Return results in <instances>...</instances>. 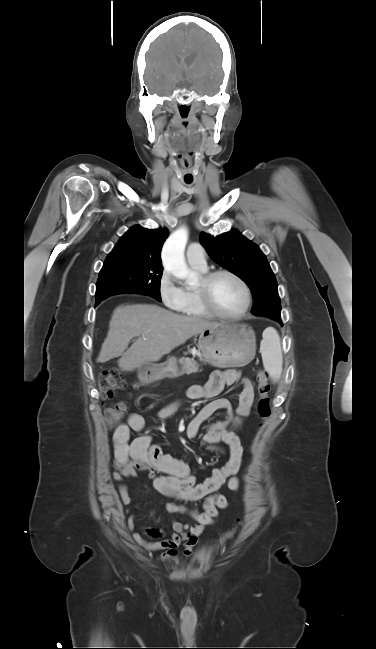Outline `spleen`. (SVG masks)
Returning <instances> with one entry per match:
<instances>
[{"label": "spleen", "instance_id": "spleen-1", "mask_svg": "<svg viewBox=\"0 0 376 649\" xmlns=\"http://www.w3.org/2000/svg\"><path fill=\"white\" fill-rule=\"evenodd\" d=\"M260 352L265 371L274 382H278L282 374L283 356L280 337L274 328L264 331Z\"/></svg>", "mask_w": 376, "mask_h": 649}]
</instances>
